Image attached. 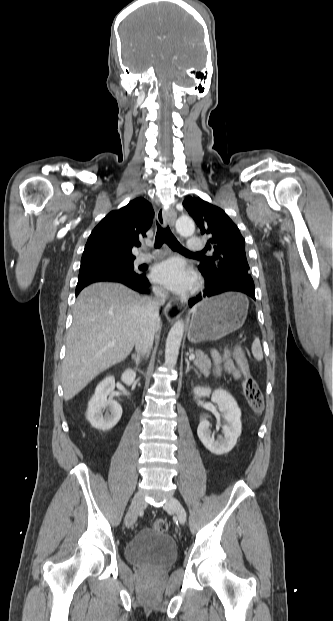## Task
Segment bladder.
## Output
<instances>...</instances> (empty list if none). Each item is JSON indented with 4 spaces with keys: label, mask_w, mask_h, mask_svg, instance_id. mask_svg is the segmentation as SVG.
<instances>
[{
    "label": "bladder",
    "mask_w": 333,
    "mask_h": 621,
    "mask_svg": "<svg viewBox=\"0 0 333 621\" xmlns=\"http://www.w3.org/2000/svg\"><path fill=\"white\" fill-rule=\"evenodd\" d=\"M125 557L138 566L165 567L177 557L176 543L167 532L144 528L126 545Z\"/></svg>",
    "instance_id": "bladder-1"
}]
</instances>
